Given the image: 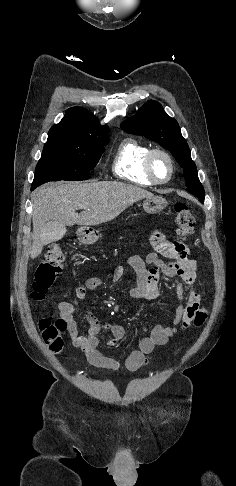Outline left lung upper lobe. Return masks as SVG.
I'll use <instances>...</instances> for the list:
<instances>
[{"label":"left lung upper lobe","mask_w":236,"mask_h":486,"mask_svg":"<svg viewBox=\"0 0 236 486\" xmlns=\"http://www.w3.org/2000/svg\"><path fill=\"white\" fill-rule=\"evenodd\" d=\"M131 134L144 135L169 150L179 165L184 168L187 191L195 194L204 203L205 192L197 175L194 161L186 140L182 137L178 122L169 117L161 104L148 101L136 115L121 124Z\"/></svg>","instance_id":"5c2ea615"}]
</instances>
